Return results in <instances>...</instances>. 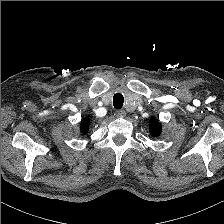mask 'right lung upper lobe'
<instances>
[{
	"label": "right lung upper lobe",
	"mask_w": 224,
	"mask_h": 224,
	"mask_svg": "<svg viewBox=\"0 0 224 224\" xmlns=\"http://www.w3.org/2000/svg\"><path fill=\"white\" fill-rule=\"evenodd\" d=\"M80 128L83 134H86L88 132V128H89L88 119H85L84 121H82Z\"/></svg>",
	"instance_id": "obj_1"
}]
</instances>
